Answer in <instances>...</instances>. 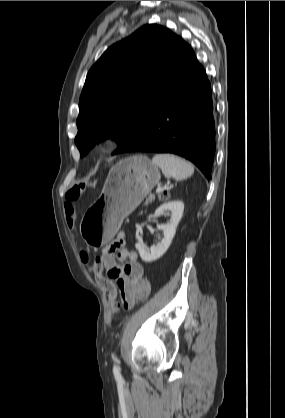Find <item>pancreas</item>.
I'll list each match as a JSON object with an SVG mask.
<instances>
[{"label": "pancreas", "instance_id": "1", "mask_svg": "<svg viewBox=\"0 0 285 418\" xmlns=\"http://www.w3.org/2000/svg\"><path fill=\"white\" fill-rule=\"evenodd\" d=\"M153 200V198H150L149 201L151 202Z\"/></svg>", "mask_w": 285, "mask_h": 418}]
</instances>
